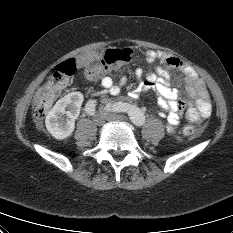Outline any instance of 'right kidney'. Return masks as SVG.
Masks as SVG:
<instances>
[{
  "label": "right kidney",
  "mask_w": 233,
  "mask_h": 233,
  "mask_svg": "<svg viewBox=\"0 0 233 233\" xmlns=\"http://www.w3.org/2000/svg\"><path fill=\"white\" fill-rule=\"evenodd\" d=\"M84 100L80 92H72L59 99L45 119L48 132L57 140L68 138L75 129Z\"/></svg>",
  "instance_id": "1"
}]
</instances>
